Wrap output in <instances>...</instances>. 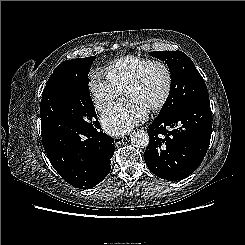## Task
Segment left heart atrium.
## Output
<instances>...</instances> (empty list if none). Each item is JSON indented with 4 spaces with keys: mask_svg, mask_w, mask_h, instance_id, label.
Segmentation results:
<instances>
[{
    "mask_svg": "<svg viewBox=\"0 0 245 245\" xmlns=\"http://www.w3.org/2000/svg\"><path fill=\"white\" fill-rule=\"evenodd\" d=\"M149 108L134 97H127L110 106L102 115L103 127L112 134H122L143 122Z\"/></svg>",
    "mask_w": 245,
    "mask_h": 245,
    "instance_id": "1",
    "label": "left heart atrium"
}]
</instances>
